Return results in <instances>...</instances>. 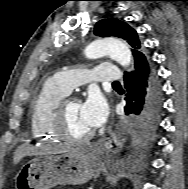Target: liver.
<instances>
[{
	"instance_id": "obj_1",
	"label": "liver",
	"mask_w": 188,
	"mask_h": 189,
	"mask_svg": "<svg viewBox=\"0 0 188 189\" xmlns=\"http://www.w3.org/2000/svg\"><path fill=\"white\" fill-rule=\"evenodd\" d=\"M80 154L84 153L83 151L70 147V146H54L50 149H46L44 152L38 151L37 149L26 146V145H21L19 146L13 157V163L18 164L20 160L27 154Z\"/></svg>"
}]
</instances>
